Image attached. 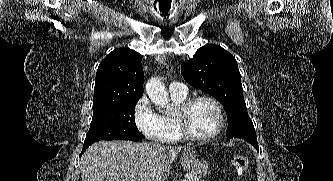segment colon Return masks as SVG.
Instances as JSON below:
<instances>
[{
  "label": "colon",
  "instance_id": "obj_1",
  "mask_svg": "<svg viewBox=\"0 0 333 181\" xmlns=\"http://www.w3.org/2000/svg\"><path fill=\"white\" fill-rule=\"evenodd\" d=\"M231 165L239 174L246 172L249 166L248 158L242 155H235L231 158Z\"/></svg>",
  "mask_w": 333,
  "mask_h": 181
}]
</instances>
